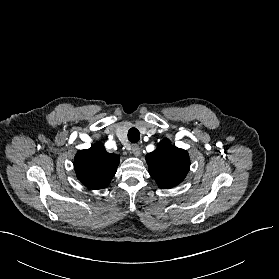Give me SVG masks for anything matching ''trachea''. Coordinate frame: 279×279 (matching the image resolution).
<instances>
[{
  "mask_svg": "<svg viewBox=\"0 0 279 279\" xmlns=\"http://www.w3.org/2000/svg\"><path fill=\"white\" fill-rule=\"evenodd\" d=\"M128 139L131 143H137L140 139V133H139L138 129H136V128L129 129Z\"/></svg>",
  "mask_w": 279,
  "mask_h": 279,
  "instance_id": "3493384b",
  "label": "trachea"
}]
</instances>
